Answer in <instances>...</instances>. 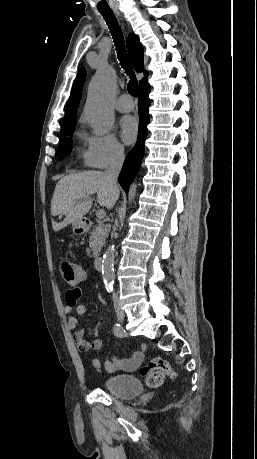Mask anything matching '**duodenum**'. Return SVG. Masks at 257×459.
<instances>
[{"mask_svg": "<svg viewBox=\"0 0 257 459\" xmlns=\"http://www.w3.org/2000/svg\"><path fill=\"white\" fill-rule=\"evenodd\" d=\"M92 227V223L88 220H85L82 222L81 224V228H80V232L82 231H87L89 230L90 228ZM102 264H103V259L102 257L100 256H96L95 257V266L98 270H100L102 268Z\"/></svg>", "mask_w": 257, "mask_h": 459, "instance_id": "1", "label": "duodenum"}]
</instances>
